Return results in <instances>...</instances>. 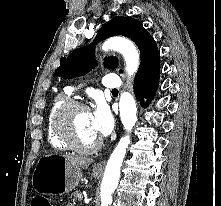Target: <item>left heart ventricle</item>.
Listing matches in <instances>:
<instances>
[{
    "label": "left heart ventricle",
    "mask_w": 221,
    "mask_h": 206,
    "mask_svg": "<svg viewBox=\"0 0 221 206\" xmlns=\"http://www.w3.org/2000/svg\"><path fill=\"white\" fill-rule=\"evenodd\" d=\"M73 125L76 137L82 145L89 146L99 139L92 128L89 111H74Z\"/></svg>",
    "instance_id": "left-heart-ventricle-1"
}]
</instances>
